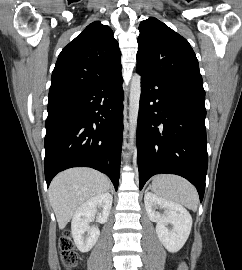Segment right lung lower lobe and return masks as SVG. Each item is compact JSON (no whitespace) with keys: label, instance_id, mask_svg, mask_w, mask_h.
I'll return each instance as SVG.
<instances>
[{"label":"right lung lower lobe","instance_id":"right-lung-lower-lobe-1","mask_svg":"<svg viewBox=\"0 0 242 270\" xmlns=\"http://www.w3.org/2000/svg\"><path fill=\"white\" fill-rule=\"evenodd\" d=\"M121 71L73 94L49 100L44 170L47 187L76 166L105 173L118 188L123 133Z\"/></svg>","mask_w":242,"mask_h":270}]
</instances>
